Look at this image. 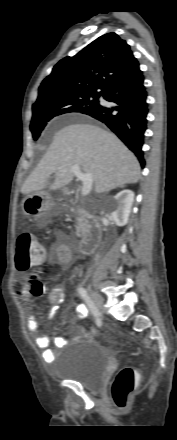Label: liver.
<instances>
[{"label":"liver","mask_w":177,"mask_h":440,"mask_svg":"<svg viewBox=\"0 0 177 440\" xmlns=\"http://www.w3.org/2000/svg\"><path fill=\"white\" fill-rule=\"evenodd\" d=\"M93 175L96 193L136 183L140 164L135 155L113 134L91 124H72L59 130L37 167L25 180L21 192L29 194L68 185L72 166ZM55 180L49 183L50 176Z\"/></svg>","instance_id":"obj_1"}]
</instances>
